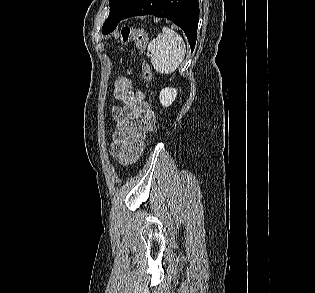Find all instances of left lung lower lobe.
<instances>
[{"label":"left lung lower lobe","instance_id":"left-lung-lower-lobe-1","mask_svg":"<svg viewBox=\"0 0 315 293\" xmlns=\"http://www.w3.org/2000/svg\"><path fill=\"white\" fill-rule=\"evenodd\" d=\"M141 15L165 17L173 21L184 30L191 50L194 49L199 20L197 0H139L123 19Z\"/></svg>","mask_w":315,"mask_h":293}]
</instances>
